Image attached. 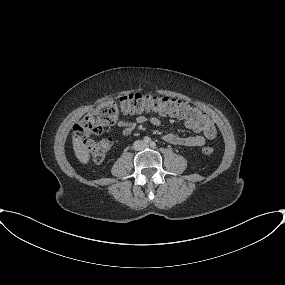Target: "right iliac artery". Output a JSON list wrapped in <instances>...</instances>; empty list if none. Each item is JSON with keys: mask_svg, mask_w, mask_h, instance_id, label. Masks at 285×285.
I'll return each instance as SVG.
<instances>
[{"mask_svg": "<svg viewBox=\"0 0 285 285\" xmlns=\"http://www.w3.org/2000/svg\"><path fill=\"white\" fill-rule=\"evenodd\" d=\"M150 141H151V139L149 138V137H144V139H143V142L145 143V144H149L150 143Z\"/></svg>", "mask_w": 285, "mask_h": 285, "instance_id": "right-iliac-artery-1", "label": "right iliac artery"}]
</instances>
